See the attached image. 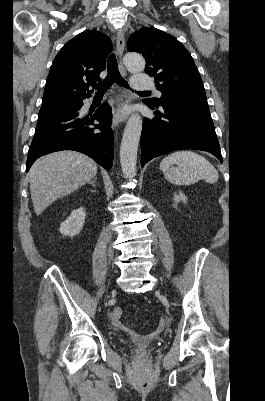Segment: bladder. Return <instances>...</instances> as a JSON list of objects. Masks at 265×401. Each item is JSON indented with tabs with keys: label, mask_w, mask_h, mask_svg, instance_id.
<instances>
[{
	"label": "bladder",
	"mask_w": 265,
	"mask_h": 401,
	"mask_svg": "<svg viewBox=\"0 0 265 401\" xmlns=\"http://www.w3.org/2000/svg\"><path fill=\"white\" fill-rule=\"evenodd\" d=\"M131 345H141L143 347L147 346H153L154 345V340L150 338H130L129 341H127Z\"/></svg>",
	"instance_id": "31cf9c89"
}]
</instances>
